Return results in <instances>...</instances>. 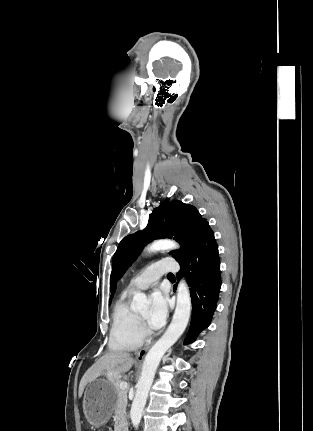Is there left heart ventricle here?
I'll list each match as a JSON object with an SVG mask.
<instances>
[{"instance_id":"left-heart-ventricle-1","label":"left heart ventricle","mask_w":313,"mask_h":431,"mask_svg":"<svg viewBox=\"0 0 313 431\" xmlns=\"http://www.w3.org/2000/svg\"><path fill=\"white\" fill-rule=\"evenodd\" d=\"M140 317H141L143 320H147V319H148V317H149V312H148V311H145V312L141 313Z\"/></svg>"}]
</instances>
